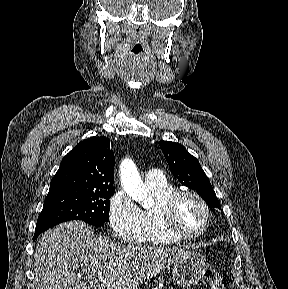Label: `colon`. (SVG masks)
Returning <instances> with one entry per match:
<instances>
[{
    "mask_svg": "<svg viewBox=\"0 0 288 289\" xmlns=\"http://www.w3.org/2000/svg\"><path fill=\"white\" fill-rule=\"evenodd\" d=\"M205 289H225L223 277L214 269H207L203 275Z\"/></svg>",
    "mask_w": 288,
    "mask_h": 289,
    "instance_id": "5ec220e1",
    "label": "colon"
}]
</instances>
